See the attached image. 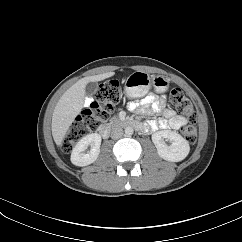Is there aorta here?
Returning <instances> with one entry per match:
<instances>
[{
  "label": "aorta",
  "mask_w": 242,
  "mask_h": 242,
  "mask_svg": "<svg viewBox=\"0 0 242 242\" xmlns=\"http://www.w3.org/2000/svg\"><path fill=\"white\" fill-rule=\"evenodd\" d=\"M124 131H125V135H126L127 137L132 136V135H133V133H134L133 128H132V127H130V126L126 127Z\"/></svg>",
  "instance_id": "1"
}]
</instances>
